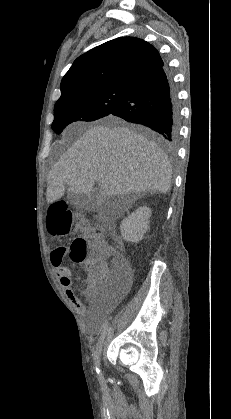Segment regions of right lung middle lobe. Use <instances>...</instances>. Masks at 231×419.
Segmentation results:
<instances>
[{
    "instance_id": "dd1d6c3e",
    "label": "right lung middle lobe",
    "mask_w": 231,
    "mask_h": 419,
    "mask_svg": "<svg viewBox=\"0 0 231 419\" xmlns=\"http://www.w3.org/2000/svg\"><path fill=\"white\" fill-rule=\"evenodd\" d=\"M132 87L103 86L86 88L57 101L52 129L60 134L74 121H94L109 115L129 94Z\"/></svg>"
}]
</instances>
